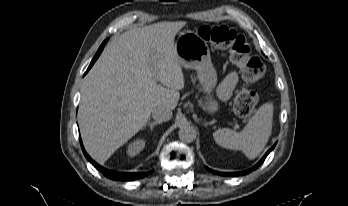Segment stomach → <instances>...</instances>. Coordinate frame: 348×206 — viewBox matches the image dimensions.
I'll list each match as a JSON object with an SVG mask.
<instances>
[{"label": "stomach", "mask_w": 348, "mask_h": 206, "mask_svg": "<svg viewBox=\"0 0 348 206\" xmlns=\"http://www.w3.org/2000/svg\"><path fill=\"white\" fill-rule=\"evenodd\" d=\"M175 50L181 65L197 71V78L205 93L201 106L208 113L218 110V102L211 92L217 84V73L211 62L209 47L203 39L193 32H182L175 42Z\"/></svg>", "instance_id": "stomach-1"}]
</instances>
